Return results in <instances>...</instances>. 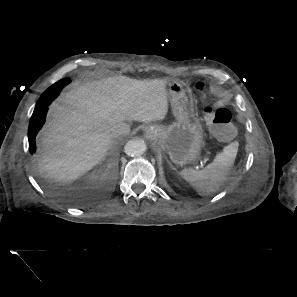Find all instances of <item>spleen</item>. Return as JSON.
Instances as JSON below:
<instances>
[{"instance_id":"3e777b00","label":"spleen","mask_w":297,"mask_h":297,"mask_svg":"<svg viewBox=\"0 0 297 297\" xmlns=\"http://www.w3.org/2000/svg\"><path fill=\"white\" fill-rule=\"evenodd\" d=\"M238 151V143L232 142L218 153L203 170L183 169L182 178L201 196L216 192L227 180Z\"/></svg>"}]
</instances>
